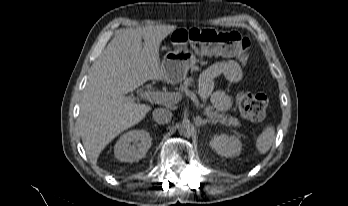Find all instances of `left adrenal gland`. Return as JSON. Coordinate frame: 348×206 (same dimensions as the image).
Returning <instances> with one entry per match:
<instances>
[{
    "label": "left adrenal gland",
    "mask_w": 348,
    "mask_h": 206,
    "mask_svg": "<svg viewBox=\"0 0 348 206\" xmlns=\"http://www.w3.org/2000/svg\"><path fill=\"white\" fill-rule=\"evenodd\" d=\"M196 123L199 125V126H204L205 124L207 123H214L212 120H209V119H202L200 118L199 116L196 117Z\"/></svg>",
    "instance_id": "obj_1"
}]
</instances>
